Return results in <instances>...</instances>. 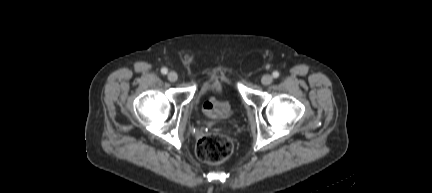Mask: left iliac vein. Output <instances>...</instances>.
<instances>
[{
	"mask_svg": "<svg viewBox=\"0 0 432 193\" xmlns=\"http://www.w3.org/2000/svg\"><path fill=\"white\" fill-rule=\"evenodd\" d=\"M261 82L263 85H270L273 82V77L269 74H265L262 76Z\"/></svg>",
	"mask_w": 432,
	"mask_h": 193,
	"instance_id": "1",
	"label": "left iliac vein"
}]
</instances>
